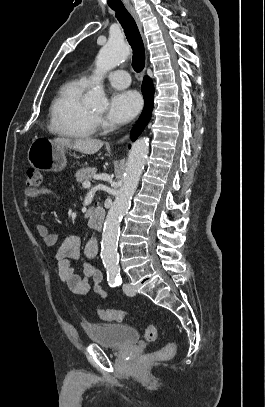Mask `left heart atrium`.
Segmentation results:
<instances>
[{"mask_svg":"<svg viewBox=\"0 0 265 407\" xmlns=\"http://www.w3.org/2000/svg\"><path fill=\"white\" fill-rule=\"evenodd\" d=\"M142 106L138 93L134 91L115 92L109 101L107 117L117 124H122L133 119Z\"/></svg>","mask_w":265,"mask_h":407,"instance_id":"39dd6f15","label":"left heart atrium"}]
</instances>
